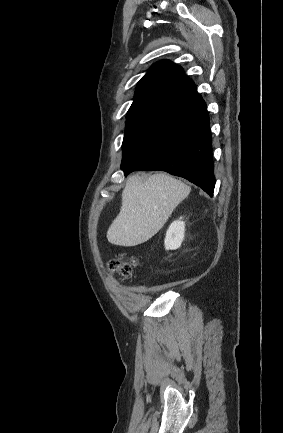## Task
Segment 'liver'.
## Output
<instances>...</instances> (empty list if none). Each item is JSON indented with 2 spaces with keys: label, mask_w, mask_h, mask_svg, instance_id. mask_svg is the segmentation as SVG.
<instances>
[{
  "label": "liver",
  "mask_w": 283,
  "mask_h": 433,
  "mask_svg": "<svg viewBox=\"0 0 283 433\" xmlns=\"http://www.w3.org/2000/svg\"><path fill=\"white\" fill-rule=\"evenodd\" d=\"M190 186L165 172L143 178L133 174L122 190V206L118 217L107 231L112 245L135 247L154 237L177 204L186 198Z\"/></svg>",
  "instance_id": "1"
}]
</instances>
